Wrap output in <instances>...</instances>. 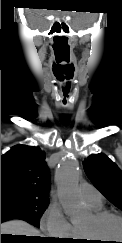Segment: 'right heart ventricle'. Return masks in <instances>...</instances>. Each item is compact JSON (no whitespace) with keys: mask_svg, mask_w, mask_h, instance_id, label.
I'll list each match as a JSON object with an SVG mask.
<instances>
[{"mask_svg":"<svg viewBox=\"0 0 122 243\" xmlns=\"http://www.w3.org/2000/svg\"><path fill=\"white\" fill-rule=\"evenodd\" d=\"M90 208L92 209L93 212H99V211L103 210V205L100 204V205H96V206H90ZM75 229H76V235L75 236L79 239L82 238V235L80 233L79 228H75Z\"/></svg>","mask_w":122,"mask_h":243,"instance_id":"right-heart-ventricle-1","label":"right heart ventricle"}]
</instances>
